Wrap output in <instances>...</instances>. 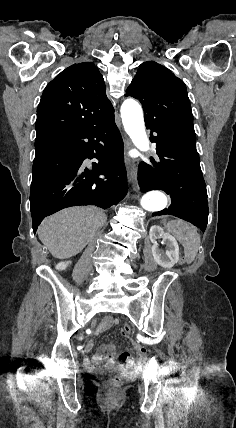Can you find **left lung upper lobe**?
<instances>
[{"mask_svg":"<svg viewBox=\"0 0 236 428\" xmlns=\"http://www.w3.org/2000/svg\"><path fill=\"white\" fill-rule=\"evenodd\" d=\"M125 96L141 102L146 125L165 127L180 139L196 144L186 86L169 69L154 61L142 63Z\"/></svg>","mask_w":236,"mask_h":428,"instance_id":"1","label":"left lung upper lobe"}]
</instances>
